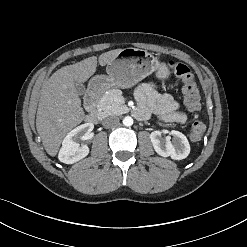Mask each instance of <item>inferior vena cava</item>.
Masks as SVG:
<instances>
[{"mask_svg":"<svg viewBox=\"0 0 247 247\" xmlns=\"http://www.w3.org/2000/svg\"><path fill=\"white\" fill-rule=\"evenodd\" d=\"M102 124L107 128L114 127L119 124V118L117 116H108L103 119Z\"/></svg>","mask_w":247,"mask_h":247,"instance_id":"1","label":"inferior vena cava"}]
</instances>
